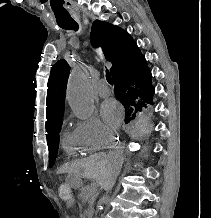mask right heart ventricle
<instances>
[{
    "mask_svg": "<svg viewBox=\"0 0 211 218\" xmlns=\"http://www.w3.org/2000/svg\"><path fill=\"white\" fill-rule=\"evenodd\" d=\"M62 145L68 155L83 154L96 150L95 148L82 144L73 133L69 132L63 134Z\"/></svg>",
    "mask_w": 211,
    "mask_h": 218,
    "instance_id": "1",
    "label": "right heart ventricle"
}]
</instances>
